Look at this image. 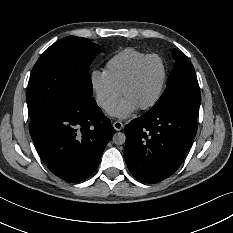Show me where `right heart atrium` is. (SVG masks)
<instances>
[{
	"label": "right heart atrium",
	"mask_w": 233,
	"mask_h": 233,
	"mask_svg": "<svg viewBox=\"0 0 233 233\" xmlns=\"http://www.w3.org/2000/svg\"><path fill=\"white\" fill-rule=\"evenodd\" d=\"M90 84L95 101L103 110H109L119 102L121 89L117 88L104 72L94 69L90 75Z\"/></svg>",
	"instance_id": "d8ad5b80"
}]
</instances>
